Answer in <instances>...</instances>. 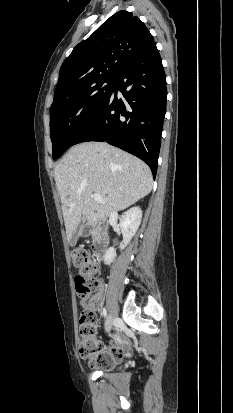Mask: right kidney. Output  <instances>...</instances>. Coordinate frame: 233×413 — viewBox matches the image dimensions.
<instances>
[{"label": "right kidney", "mask_w": 233, "mask_h": 413, "mask_svg": "<svg viewBox=\"0 0 233 413\" xmlns=\"http://www.w3.org/2000/svg\"><path fill=\"white\" fill-rule=\"evenodd\" d=\"M142 219V210L140 207H132L124 212L120 218L119 226L123 235V241L120 244V249L123 250L129 244L132 237L137 232ZM116 257V251L110 247L104 256V263L110 265Z\"/></svg>", "instance_id": "right-kidney-1"}]
</instances>
